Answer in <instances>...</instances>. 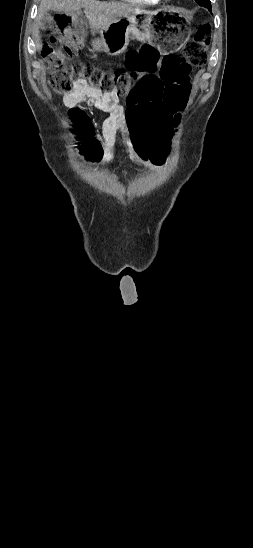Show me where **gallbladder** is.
<instances>
[{
	"mask_svg": "<svg viewBox=\"0 0 253 548\" xmlns=\"http://www.w3.org/2000/svg\"><path fill=\"white\" fill-rule=\"evenodd\" d=\"M51 16L49 14L44 15V17L40 20L41 24H46L50 20Z\"/></svg>",
	"mask_w": 253,
	"mask_h": 548,
	"instance_id": "obj_1",
	"label": "gallbladder"
}]
</instances>
